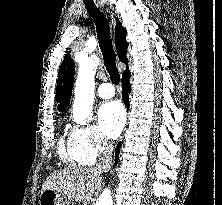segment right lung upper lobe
<instances>
[{
	"label": "right lung upper lobe",
	"instance_id": "obj_1",
	"mask_svg": "<svg viewBox=\"0 0 222 205\" xmlns=\"http://www.w3.org/2000/svg\"><path fill=\"white\" fill-rule=\"evenodd\" d=\"M126 29L117 19L116 29H115V42L117 54L121 62L125 63L128 67V59L126 57L128 42L126 41ZM129 72L127 68L122 75ZM75 73L74 61L68 53L60 67L57 88H56V101L59 103L58 110L60 112L64 111L68 106V102L72 93V84Z\"/></svg>",
	"mask_w": 222,
	"mask_h": 205
}]
</instances>
